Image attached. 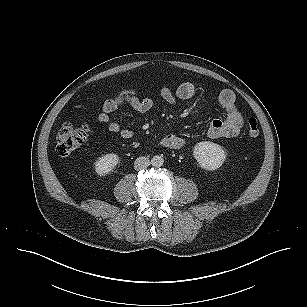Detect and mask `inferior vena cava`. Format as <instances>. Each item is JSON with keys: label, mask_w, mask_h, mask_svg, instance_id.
<instances>
[{"label": "inferior vena cava", "mask_w": 307, "mask_h": 307, "mask_svg": "<svg viewBox=\"0 0 307 307\" xmlns=\"http://www.w3.org/2000/svg\"><path fill=\"white\" fill-rule=\"evenodd\" d=\"M150 160L148 157L141 156L138 157L134 162V168L135 170H142L147 168L150 165Z\"/></svg>", "instance_id": "602c4592"}]
</instances>
